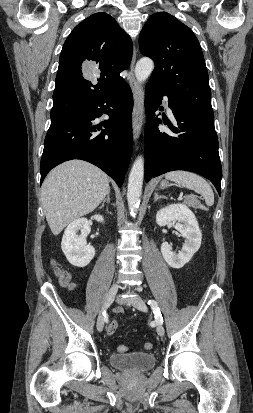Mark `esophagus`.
Returning <instances> with one entry per match:
<instances>
[{"mask_svg":"<svg viewBox=\"0 0 253 413\" xmlns=\"http://www.w3.org/2000/svg\"><path fill=\"white\" fill-rule=\"evenodd\" d=\"M136 61V49H134L133 57L130 65L129 84L133 92L134 106L132 112V129L134 139L137 140L141 133L142 127V112H143V92L142 88L134 76V66Z\"/></svg>","mask_w":253,"mask_h":413,"instance_id":"esophagus-1","label":"esophagus"}]
</instances>
